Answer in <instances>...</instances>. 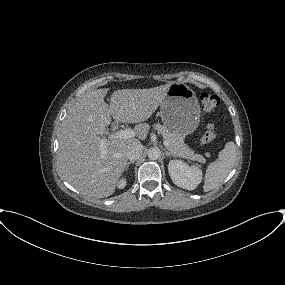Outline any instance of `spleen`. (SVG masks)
I'll return each instance as SVG.
<instances>
[{"instance_id":"1","label":"spleen","mask_w":285,"mask_h":285,"mask_svg":"<svg viewBox=\"0 0 285 285\" xmlns=\"http://www.w3.org/2000/svg\"><path fill=\"white\" fill-rule=\"evenodd\" d=\"M237 158V151L234 142L225 144L218 154V160L208 165L205 173L204 186L205 192L218 187L232 170Z\"/></svg>"}]
</instances>
